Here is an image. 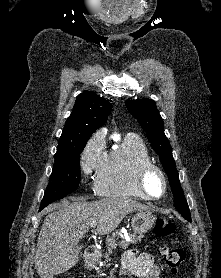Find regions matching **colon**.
<instances>
[{
	"instance_id": "obj_1",
	"label": "colon",
	"mask_w": 221,
	"mask_h": 278,
	"mask_svg": "<svg viewBox=\"0 0 221 278\" xmlns=\"http://www.w3.org/2000/svg\"><path fill=\"white\" fill-rule=\"evenodd\" d=\"M154 233L159 238L171 237L175 233V226L172 221L159 217L155 222ZM161 254L167 267L173 272L179 271L186 258L185 251L177 247H163Z\"/></svg>"
}]
</instances>
